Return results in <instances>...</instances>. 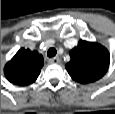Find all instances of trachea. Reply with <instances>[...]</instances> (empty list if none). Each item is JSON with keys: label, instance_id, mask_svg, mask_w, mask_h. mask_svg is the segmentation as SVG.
<instances>
[{"label": "trachea", "instance_id": "trachea-1", "mask_svg": "<svg viewBox=\"0 0 115 114\" xmlns=\"http://www.w3.org/2000/svg\"><path fill=\"white\" fill-rule=\"evenodd\" d=\"M56 53H57V51H56L55 48H50V49L48 50V52H47V56H48L49 58H52V57H54V56L56 55Z\"/></svg>", "mask_w": 115, "mask_h": 114}]
</instances>
